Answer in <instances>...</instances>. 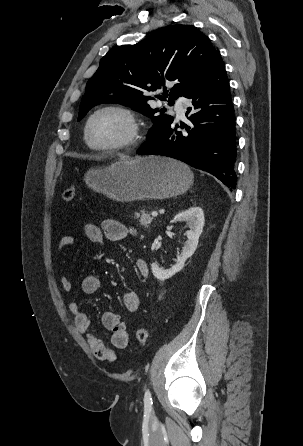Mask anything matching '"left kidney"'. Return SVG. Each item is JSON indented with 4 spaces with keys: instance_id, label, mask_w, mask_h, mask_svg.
I'll return each instance as SVG.
<instances>
[{
    "instance_id": "obj_1",
    "label": "left kidney",
    "mask_w": 303,
    "mask_h": 446,
    "mask_svg": "<svg viewBox=\"0 0 303 446\" xmlns=\"http://www.w3.org/2000/svg\"><path fill=\"white\" fill-rule=\"evenodd\" d=\"M174 221H186L190 230L186 232L187 241L184 243L182 253L180 255H177L175 265H173L169 269L164 270L160 268L157 263L151 264L153 275L160 281H164L182 270L186 260L194 254L204 226V212L202 208L198 206L191 207L177 214L174 217Z\"/></svg>"
}]
</instances>
